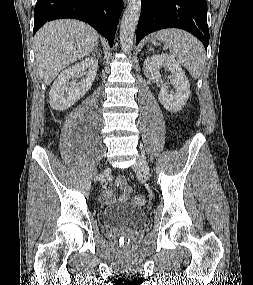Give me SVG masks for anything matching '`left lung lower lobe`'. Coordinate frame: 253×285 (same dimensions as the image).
Wrapping results in <instances>:
<instances>
[{
	"mask_svg": "<svg viewBox=\"0 0 253 285\" xmlns=\"http://www.w3.org/2000/svg\"><path fill=\"white\" fill-rule=\"evenodd\" d=\"M136 45L151 32L180 28L196 36L207 50L209 29L206 0H141Z\"/></svg>",
	"mask_w": 253,
	"mask_h": 285,
	"instance_id": "0a47b994",
	"label": "left lung lower lobe"
}]
</instances>
